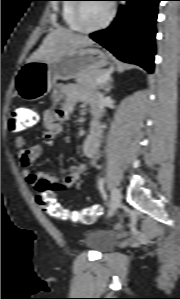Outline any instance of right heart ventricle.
<instances>
[{
    "instance_id": "obj_1",
    "label": "right heart ventricle",
    "mask_w": 180,
    "mask_h": 299,
    "mask_svg": "<svg viewBox=\"0 0 180 299\" xmlns=\"http://www.w3.org/2000/svg\"><path fill=\"white\" fill-rule=\"evenodd\" d=\"M74 1L75 0H65V3L62 6L61 14L65 25L73 31H78V28L73 20V11L75 6Z\"/></svg>"
}]
</instances>
